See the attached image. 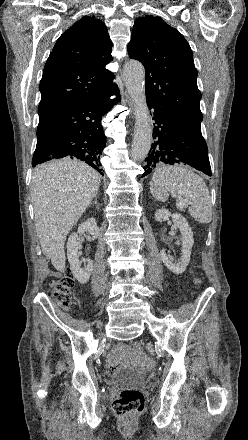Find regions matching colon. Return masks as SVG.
I'll use <instances>...</instances> for the list:
<instances>
[{
    "label": "colon",
    "mask_w": 248,
    "mask_h": 440,
    "mask_svg": "<svg viewBox=\"0 0 248 440\" xmlns=\"http://www.w3.org/2000/svg\"><path fill=\"white\" fill-rule=\"evenodd\" d=\"M74 287V277L69 272L51 284V292L55 301L62 309H68L71 303V292ZM125 346V345H124ZM126 350L140 352L142 344L134 342L125 346ZM145 404L144 395L137 389H125L113 401L112 410L117 417H131L140 413Z\"/></svg>",
    "instance_id": "obj_1"
}]
</instances>
